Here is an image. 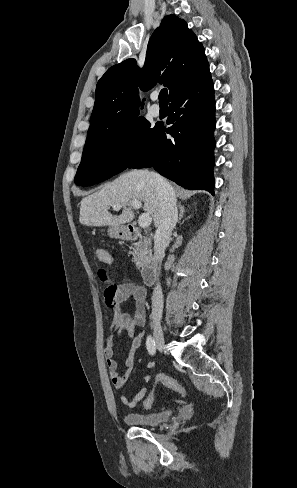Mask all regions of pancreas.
Instances as JSON below:
<instances>
[{
	"label": "pancreas",
	"mask_w": 297,
	"mask_h": 488,
	"mask_svg": "<svg viewBox=\"0 0 297 488\" xmlns=\"http://www.w3.org/2000/svg\"><path fill=\"white\" fill-rule=\"evenodd\" d=\"M133 260L136 267H143L151 258L150 241L146 237H141L138 242L133 244Z\"/></svg>",
	"instance_id": "1"
}]
</instances>
